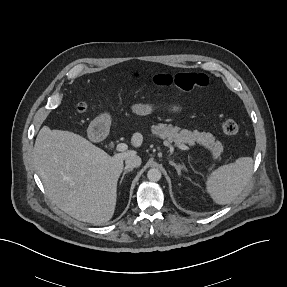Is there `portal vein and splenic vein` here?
Listing matches in <instances>:
<instances>
[{
	"label": "portal vein and splenic vein",
	"instance_id": "obj_1",
	"mask_svg": "<svg viewBox=\"0 0 287 287\" xmlns=\"http://www.w3.org/2000/svg\"><path fill=\"white\" fill-rule=\"evenodd\" d=\"M177 147L182 149V150H189V147L186 146L185 144H182V143L177 144ZM127 148H128V146L125 143H119L116 146V150L119 151V152L126 151Z\"/></svg>",
	"mask_w": 287,
	"mask_h": 287
}]
</instances>
